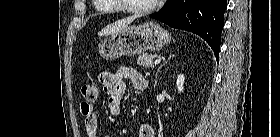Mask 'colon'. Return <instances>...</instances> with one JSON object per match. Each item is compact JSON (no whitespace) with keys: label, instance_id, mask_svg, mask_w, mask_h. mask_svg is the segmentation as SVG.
<instances>
[{"label":"colon","instance_id":"colon-1","mask_svg":"<svg viewBox=\"0 0 280 137\" xmlns=\"http://www.w3.org/2000/svg\"><path fill=\"white\" fill-rule=\"evenodd\" d=\"M81 94L86 100L93 101L98 96V87L94 83L84 84L81 87Z\"/></svg>","mask_w":280,"mask_h":137}]
</instances>
